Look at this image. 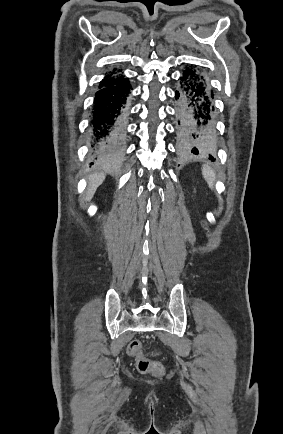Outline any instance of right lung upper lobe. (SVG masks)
I'll return each instance as SVG.
<instances>
[{
  "label": "right lung upper lobe",
  "mask_w": 283,
  "mask_h": 434,
  "mask_svg": "<svg viewBox=\"0 0 283 434\" xmlns=\"http://www.w3.org/2000/svg\"><path fill=\"white\" fill-rule=\"evenodd\" d=\"M115 71V69L113 70V72ZM123 78L122 77H120V78H117V79H110V80H108V81H102L101 83H100V87H103V86H110V85H113V84H116V83H118V82H120L121 80H122Z\"/></svg>",
  "instance_id": "right-lung-upper-lobe-1"
}]
</instances>
